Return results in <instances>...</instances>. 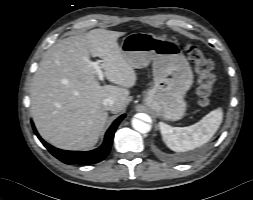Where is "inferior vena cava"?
<instances>
[{
  "mask_svg": "<svg viewBox=\"0 0 253 200\" xmlns=\"http://www.w3.org/2000/svg\"><path fill=\"white\" fill-rule=\"evenodd\" d=\"M103 106L105 110H111L114 106V100L112 98H105L103 100Z\"/></svg>",
  "mask_w": 253,
  "mask_h": 200,
  "instance_id": "1",
  "label": "inferior vena cava"
}]
</instances>
